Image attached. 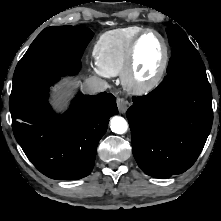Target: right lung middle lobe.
<instances>
[{
  "instance_id": "obj_1",
  "label": "right lung middle lobe",
  "mask_w": 221,
  "mask_h": 221,
  "mask_svg": "<svg viewBox=\"0 0 221 221\" xmlns=\"http://www.w3.org/2000/svg\"><path fill=\"white\" fill-rule=\"evenodd\" d=\"M93 38L82 26H52L32 42L17 64L10 95V110L32 100L72 69L79 70L80 58Z\"/></svg>"
}]
</instances>
